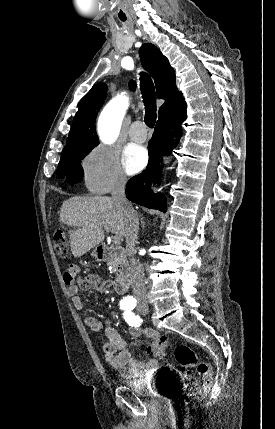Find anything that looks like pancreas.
Returning <instances> with one entry per match:
<instances>
[{"instance_id": "1", "label": "pancreas", "mask_w": 275, "mask_h": 429, "mask_svg": "<svg viewBox=\"0 0 275 429\" xmlns=\"http://www.w3.org/2000/svg\"><path fill=\"white\" fill-rule=\"evenodd\" d=\"M108 266H112L113 267L112 273L116 272V261H114V260L109 261L108 262Z\"/></svg>"}]
</instances>
